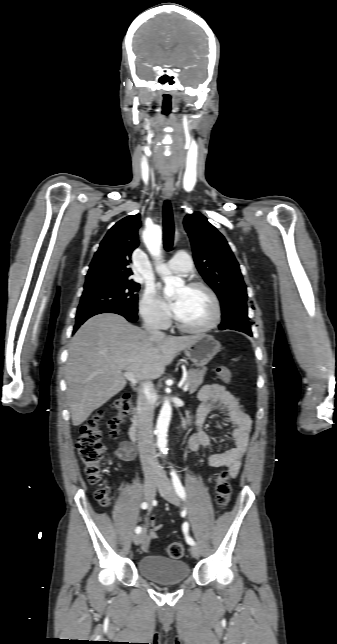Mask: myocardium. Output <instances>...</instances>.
Segmentation results:
<instances>
[{"label":"myocardium","mask_w":337,"mask_h":644,"mask_svg":"<svg viewBox=\"0 0 337 644\" xmlns=\"http://www.w3.org/2000/svg\"><path fill=\"white\" fill-rule=\"evenodd\" d=\"M187 288L189 289H201L204 290L211 299L213 305V315L211 320L202 327H189L183 324L175 315L173 316V321L176 327L186 333L190 334H204L210 332L216 328L221 320V304L216 292L206 283L203 282H192L188 284Z\"/></svg>","instance_id":"1"}]
</instances>
